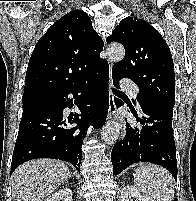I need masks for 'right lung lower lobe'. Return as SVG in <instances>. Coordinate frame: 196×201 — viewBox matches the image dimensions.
Returning <instances> with one entry per match:
<instances>
[{
	"label": "right lung lower lobe",
	"mask_w": 196,
	"mask_h": 201,
	"mask_svg": "<svg viewBox=\"0 0 196 201\" xmlns=\"http://www.w3.org/2000/svg\"><path fill=\"white\" fill-rule=\"evenodd\" d=\"M109 66L101 64L82 81L23 104L11 173L36 158L70 162L80 171L81 146L90 125L100 128L107 116ZM73 94L75 100L68 98ZM77 104L80 114L65 118L63 110Z\"/></svg>",
	"instance_id": "1"
}]
</instances>
